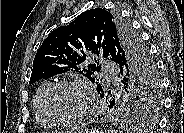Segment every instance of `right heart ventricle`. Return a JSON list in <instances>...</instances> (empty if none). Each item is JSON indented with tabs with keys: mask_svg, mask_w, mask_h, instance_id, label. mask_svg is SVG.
<instances>
[{
	"mask_svg": "<svg viewBox=\"0 0 184 133\" xmlns=\"http://www.w3.org/2000/svg\"><path fill=\"white\" fill-rule=\"evenodd\" d=\"M51 85L50 82H45L43 83L39 89L36 92L35 98H34V111H35V115L37 120L45 125V126H49L50 123L49 121L46 119V117L43 114V111L41 109V100H42V96L45 92V90Z\"/></svg>",
	"mask_w": 184,
	"mask_h": 133,
	"instance_id": "right-heart-ventricle-1",
	"label": "right heart ventricle"
}]
</instances>
